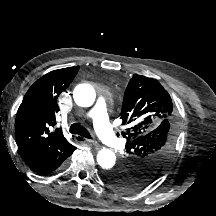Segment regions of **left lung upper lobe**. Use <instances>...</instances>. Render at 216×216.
<instances>
[{
	"label": "left lung upper lobe",
	"mask_w": 216,
	"mask_h": 216,
	"mask_svg": "<svg viewBox=\"0 0 216 216\" xmlns=\"http://www.w3.org/2000/svg\"><path fill=\"white\" fill-rule=\"evenodd\" d=\"M121 118L128 128L120 164L105 172V182L122 192L156 180L168 163L179 134V118L169 93L155 79L134 74L123 99Z\"/></svg>",
	"instance_id": "left-lung-upper-lobe-1"
}]
</instances>
